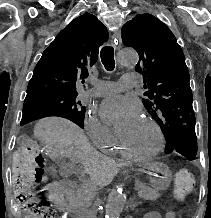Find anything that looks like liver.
I'll return each mask as SVG.
<instances>
[{
    "instance_id": "obj_1",
    "label": "liver",
    "mask_w": 211,
    "mask_h": 218,
    "mask_svg": "<svg viewBox=\"0 0 211 218\" xmlns=\"http://www.w3.org/2000/svg\"><path fill=\"white\" fill-rule=\"evenodd\" d=\"M34 136L44 142L54 158H75L82 162L92 182L107 186L111 184L119 168L124 164H115L91 148L83 130L64 118H43L34 128Z\"/></svg>"
}]
</instances>
